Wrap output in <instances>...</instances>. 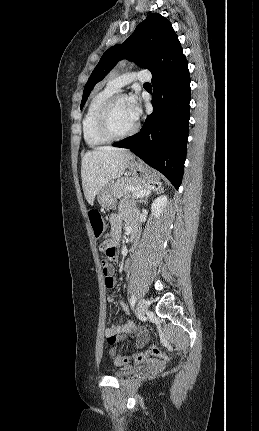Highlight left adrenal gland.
Masks as SVG:
<instances>
[{
	"instance_id": "obj_1",
	"label": "left adrenal gland",
	"mask_w": 259,
	"mask_h": 431,
	"mask_svg": "<svg viewBox=\"0 0 259 431\" xmlns=\"http://www.w3.org/2000/svg\"><path fill=\"white\" fill-rule=\"evenodd\" d=\"M164 190V187L162 186V184H159L158 186H157V188H155V189H152L148 194H146L145 195V198L143 199V200H141L140 201V203H146L147 202V199H148V197L150 196V194H151V192L153 191V192H162Z\"/></svg>"
}]
</instances>
